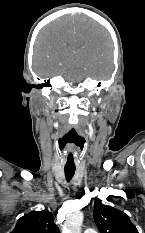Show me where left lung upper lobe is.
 <instances>
[{
  "mask_svg": "<svg viewBox=\"0 0 145 233\" xmlns=\"http://www.w3.org/2000/svg\"><path fill=\"white\" fill-rule=\"evenodd\" d=\"M94 220L100 233H138L128 215L96 201Z\"/></svg>",
  "mask_w": 145,
  "mask_h": 233,
  "instance_id": "left-lung-upper-lobe-1",
  "label": "left lung upper lobe"
}]
</instances>
